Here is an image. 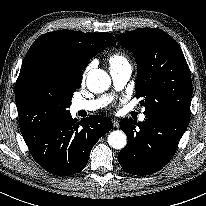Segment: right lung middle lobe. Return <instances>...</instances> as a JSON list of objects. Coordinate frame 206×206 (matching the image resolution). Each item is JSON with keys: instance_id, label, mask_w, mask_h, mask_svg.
Returning <instances> with one entry per match:
<instances>
[{"instance_id": "obj_1", "label": "right lung middle lobe", "mask_w": 206, "mask_h": 206, "mask_svg": "<svg viewBox=\"0 0 206 206\" xmlns=\"http://www.w3.org/2000/svg\"><path fill=\"white\" fill-rule=\"evenodd\" d=\"M75 73L55 49L45 48L31 59L18 88L20 130L56 121L70 112L71 98L80 87Z\"/></svg>"}]
</instances>
